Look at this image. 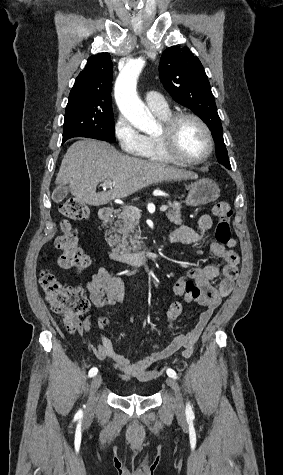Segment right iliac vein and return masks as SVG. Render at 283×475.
I'll return each mask as SVG.
<instances>
[{
	"label": "right iliac vein",
	"mask_w": 283,
	"mask_h": 475,
	"mask_svg": "<svg viewBox=\"0 0 283 475\" xmlns=\"http://www.w3.org/2000/svg\"><path fill=\"white\" fill-rule=\"evenodd\" d=\"M102 383V378H101V375H96L92 378V381H91V391H90V394L93 395L96 390L99 388V386L101 385ZM93 403L90 401L88 403V407H89V410H91L93 408Z\"/></svg>",
	"instance_id": "1"
}]
</instances>
